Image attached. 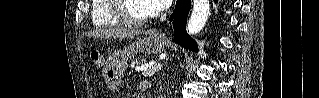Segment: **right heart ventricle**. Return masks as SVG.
Instances as JSON below:
<instances>
[{
  "label": "right heart ventricle",
  "mask_w": 319,
  "mask_h": 98,
  "mask_svg": "<svg viewBox=\"0 0 319 98\" xmlns=\"http://www.w3.org/2000/svg\"><path fill=\"white\" fill-rule=\"evenodd\" d=\"M91 19L96 27H108L120 24L111 14L110 0H93L91 6Z\"/></svg>",
  "instance_id": "1"
}]
</instances>
